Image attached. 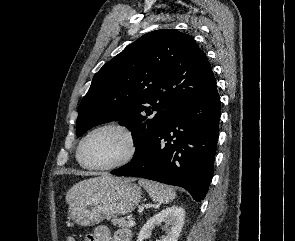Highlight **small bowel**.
I'll list each match as a JSON object with an SVG mask.
<instances>
[{
  "label": "small bowel",
  "mask_w": 295,
  "mask_h": 241,
  "mask_svg": "<svg viewBox=\"0 0 295 241\" xmlns=\"http://www.w3.org/2000/svg\"><path fill=\"white\" fill-rule=\"evenodd\" d=\"M84 241H131V233L127 230H118L111 233L106 226H98Z\"/></svg>",
  "instance_id": "1"
}]
</instances>
